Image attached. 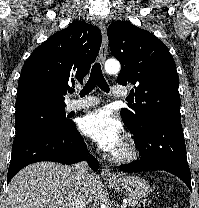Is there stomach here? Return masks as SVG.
Returning a JSON list of instances; mask_svg holds the SVG:
<instances>
[{
  "instance_id": "obj_1",
  "label": "stomach",
  "mask_w": 199,
  "mask_h": 208,
  "mask_svg": "<svg viewBox=\"0 0 199 208\" xmlns=\"http://www.w3.org/2000/svg\"><path fill=\"white\" fill-rule=\"evenodd\" d=\"M110 187L133 200H141L151 191L150 185L138 176H125L107 182Z\"/></svg>"
}]
</instances>
